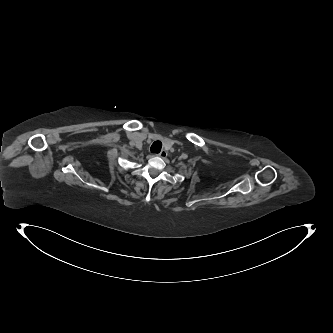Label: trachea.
<instances>
[{
    "label": "trachea",
    "mask_w": 333,
    "mask_h": 333,
    "mask_svg": "<svg viewBox=\"0 0 333 333\" xmlns=\"http://www.w3.org/2000/svg\"><path fill=\"white\" fill-rule=\"evenodd\" d=\"M162 148V143L160 141H155L150 148V151L152 153H159L161 151Z\"/></svg>",
    "instance_id": "obj_1"
}]
</instances>
